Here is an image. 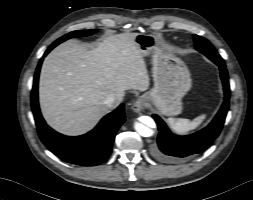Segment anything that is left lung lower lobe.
I'll return each instance as SVG.
<instances>
[{"label": "left lung lower lobe", "instance_id": "1", "mask_svg": "<svg viewBox=\"0 0 253 200\" xmlns=\"http://www.w3.org/2000/svg\"><path fill=\"white\" fill-rule=\"evenodd\" d=\"M215 64L220 68L225 97L218 114L206 128L191 135L178 136L169 130L159 116L152 115L159 130L157 143L152 153L159 160L172 163L187 160L205 150L220 134L229 108L230 88L225 64Z\"/></svg>", "mask_w": 253, "mask_h": 200}]
</instances>
